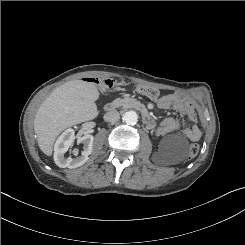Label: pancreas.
Instances as JSON below:
<instances>
[{"label": "pancreas", "mask_w": 245, "mask_h": 245, "mask_svg": "<svg viewBox=\"0 0 245 245\" xmlns=\"http://www.w3.org/2000/svg\"><path fill=\"white\" fill-rule=\"evenodd\" d=\"M115 107L122 106L123 108H136L142 106L139 101L133 98H118L112 102Z\"/></svg>", "instance_id": "cf45deb5"}]
</instances>
